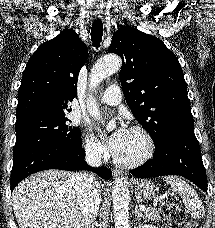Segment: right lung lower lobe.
I'll return each instance as SVG.
<instances>
[{"label":"right lung lower lobe","mask_w":215,"mask_h":228,"mask_svg":"<svg viewBox=\"0 0 215 228\" xmlns=\"http://www.w3.org/2000/svg\"><path fill=\"white\" fill-rule=\"evenodd\" d=\"M85 151L82 147L59 144H43L23 150L13 157L11 172V191L27 176L42 170H91L103 179H110L112 172L105 167L92 168L84 161Z\"/></svg>","instance_id":"obj_1"}]
</instances>
